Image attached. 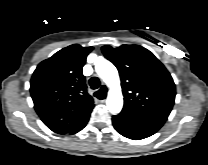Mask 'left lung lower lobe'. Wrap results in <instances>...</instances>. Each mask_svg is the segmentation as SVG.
Segmentation results:
<instances>
[{"label":"left lung lower lobe","mask_w":208,"mask_h":165,"mask_svg":"<svg viewBox=\"0 0 208 165\" xmlns=\"http://www.w3.org/2000/svg\"><path fill=\"white\" fill-rule=\"evenodd\" d=\"M112 122L116 131L124 137L140 140L156 133L165 121L120 112L112 117Z\"/></svg>","instance_id":"obj_1"}]
</instances>
